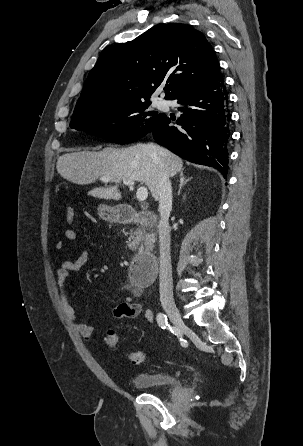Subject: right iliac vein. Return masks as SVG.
Wrapping results in <instances>:
<instances>
[{
  "label": "right iliac vein",
  "instance_id": "right-iliac-vein-1",
  "mask_svg": "<svg viewBox=\"0 0 303 446\" xmlns=\"http://www.w3.org/2000/svg\"><path fill=\"white\" fill-rule=\"evenodd\" d=\"M163 308L169 316L171 322L174 324L175 328L179 331H183L185 329V324L176 305L174 303L167 302L163 304Z\"/></svg>",
  "mask_w": 303,
  "mask_h": 446
}]
</instances>
